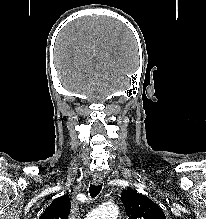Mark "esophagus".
I'll list each match as a JSON object with an SVG mask.
<instances>
[{
  "label": "esophagus",
  "instance_id": "1",
  "mask_svg": "<svg viewBox=\"0 0 206 219\" xmlns=\"http://www.w3.org/2000/svg\"><path fill=\"white\" fill-rule=\"evenodd\" d=\"M102 175L100 174H94L92 177V183L95 185L101 184L102 183Z\"/></svg>",
  "mask_w": 206,
  "mask_h": 219
}]
</instances>
